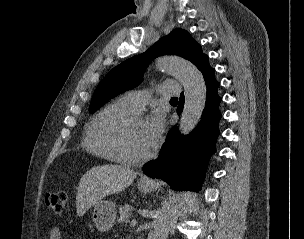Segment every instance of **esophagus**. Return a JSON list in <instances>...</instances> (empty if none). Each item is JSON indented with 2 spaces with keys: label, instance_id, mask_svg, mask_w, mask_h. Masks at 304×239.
Returning <instances> with one entry per match:
<instances>
[{
  "label": "esophagus",
  "instance_id": "34e87169",
  "mask_svg": "<svg viewBox=\"0 0 304 239\" xmlns=\"http://www.w3.org/2000/svg\"><path fill=\"white\" fill-rule=\"evenodd\" d=\"M142 181H143V182H146V183H147V182H149V181H148V180H146V179H142Z\"/></svg>",
  "mask_w": 304,
  "mask_h": 239
}]
</instances>
